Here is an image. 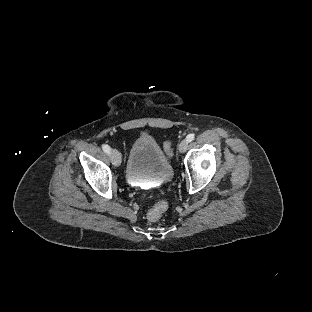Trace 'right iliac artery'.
<instances>
[{
    "label": "right iliac artery",
    "instance_id": "obj_1",
    "mask_svg": "<svg viewBox=\"0 0 312 312\" xmlns=\"http://www.w3.org/2000/svg\"><path fill=\"white\" fill-rule=\"evenodd\" d=\"M102 149L105 153L110 154V147L108 145L103 144Z\"/></svg>",
    "mask_w": 312,
    "mask_h": 312
}]
</instances>
